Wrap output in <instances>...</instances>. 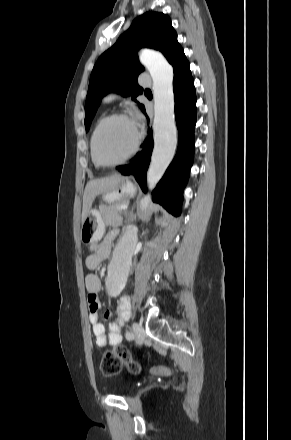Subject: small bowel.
Returning <instances> with one entry per match:
<instances>
[{
    "mask_svg": "<svg viewBox=\"0 0 291 440\" xmlns=\"http://www.w3.org/2000/svg\"><path fill=\"white\" fill-rule=\"evenodd\" d=\"M117 234L118 231L113 230L109 232L103 240L96 241L91 245V253L86 259V265L89 269H96L100 262L110 255L112 243ZM85 287L89 293L88 309L96 345L99 347L116 345L121 340L120 334L113 326L109 327V333H105V329L100 322V318L102 316L100 313V301L98 298V293L102 287L100 277L95 273L87 274L85 277ZM130 311L131 303L129 297L126 295L121 296L114 309V312L118 315L120 320H125L130 316Z\"/></svg>",
    "mask_w": 291,
    "mask_h": 440,
    "instance_id": "1",
    "label": "small bowel"
}]
</instances>
